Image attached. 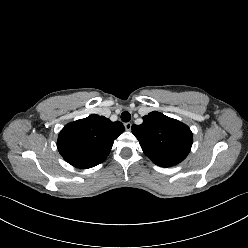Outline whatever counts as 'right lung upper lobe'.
I'll use <instances>...</instances> for the list:
<instances>
[{"label": "right lung upper lobe", "mask_w": 248, "mask_h": 248, "mask_svg": "<svg viewBox=\"0 0 248 248\" xmlns=\"http://www.w3.org/2000/svg\"><path fill=\"white\" fill-rule=\"evenodd\" d=\"M124 130L121 122L93 114L64 126L58 135V151L72 166L91 168L106 159Z\"/></svg>", "instance_id": "obj_1"}]
</instances>
